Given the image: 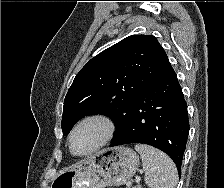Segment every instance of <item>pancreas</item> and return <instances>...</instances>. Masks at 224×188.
Returning a JSON list of instances; mask_svg holds the SVG:
<instances>
[{"mask_svg": "<svg viewBox=\"0 0 224 188\" xmlns=\"http://www.w3.org/2000/svg\"><path fill=\"white\" fill-rule=\"evenodd\" d=\"M133 188H141L140 186H135V187H133Z\"/></svg>", "mask_w": 224, "mask_h": 188, "instance_id": "obj_1", "label": "pancreas"}]
</instances>
